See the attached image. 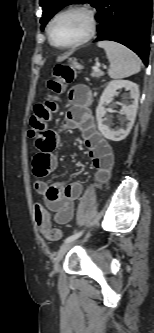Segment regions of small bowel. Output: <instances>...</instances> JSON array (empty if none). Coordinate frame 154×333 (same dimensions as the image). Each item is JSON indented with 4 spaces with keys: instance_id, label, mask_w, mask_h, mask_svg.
<instances>
[{
    "instance_id": "1",
    "label": "small bowel",
    "mask_w": 154,
    "mask_h": 333,
    "mask_svg": "<svg viewBox=\"0 0 154 333\" xmlns=\"http://www.w3.org/2000/svg\"><path fill=\"white\" fill-rule=\"evenodd\" d=\"M71 107L65 117V126L77 129L82 133L91 162L96 169V180L99 184L106 182L111 174L114 162L113 150L107 139L97 130L90 109L91 90L83 84L74 85L68 91ZM58 144L57 133L45 127L35 136L37 152L33 158V173L38 178L34 190L43 196L46 208L54 213L58 224L70 222L75 212V202L83 192L81 182L69 184L56 182L48 184L42 180L57 167L55 150Z\"/></svg>"
}]
</instances>
